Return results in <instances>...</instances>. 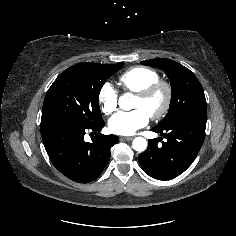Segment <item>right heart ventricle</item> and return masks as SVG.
<instances>
[{
    "instance_id": "right-heart-ventricle-1",
    "label": "right heart ventricle",
    "mask_w": 236,
    "mask_h": 236,
    "mask_svg": "<svg viewBox=\"0 0 236 236\" xmlns=\"http://www.w3.org/2000/svg\"><path fill=\"white\" fill-rule=\"evenodd\" d=\"M159 80V73L148 67H133L119 77V83L125 91L137 93Z\"/></svg>"
}]
</instances>
